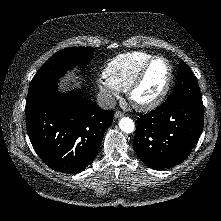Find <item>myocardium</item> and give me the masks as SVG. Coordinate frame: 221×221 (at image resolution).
Segmentation results:
<instances>
[{
    "instance_id": "1",
    "label": "myocardium",
    "mask_w": 221,
    "mask_h": 221,
    "mask_svg": "<svg viewBox=\"0 0 221 221\" xmlns=\"http://www.w3.org/2000/svg\"><path fill=\"white\" fill-rule=\"evenodd\" d=\"M159 59L163 60L166 63L167 68H168V75H167L165 85H164L163 89L161 90V92L154 99L147 101V102H140V101L136 100L135 92L139 88L141 83L143 82L144 77H145L149 67L152 65V63L154 61L159 60ZM172 79H173V68H172L170 61L162 55H154L142 65V67L139 69V71L137 72V74L133 78L132 82L130 83V85L127 89V97L129 99L130 103L137 110L144 111V112L151 111V110L157 108L166 98V96L170 90V87H171Z\"/></svg>"
}]
</instances>
